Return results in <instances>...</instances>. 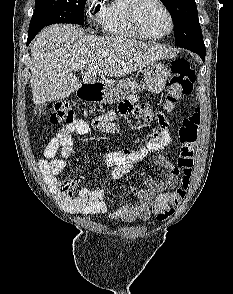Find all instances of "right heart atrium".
I'll return each instance as SVG.
<instances>
[{
    "instance_id": "1",
    "label": "right heart atrium",
    "mask_w": 233,
    "mask_h": 294,
    "mask_svg": "<svg viewBox=\"0 0 233 294\" xmlns=\"http://www.w3.org/2000/svg\"><path fill=\"white\" fill-rule=\"evenodd\" d=\"M85 9L88 12L94 13L96 18L98 17L101 11V5L99 0H85Z\"/></svg>"
}]
</instances>
